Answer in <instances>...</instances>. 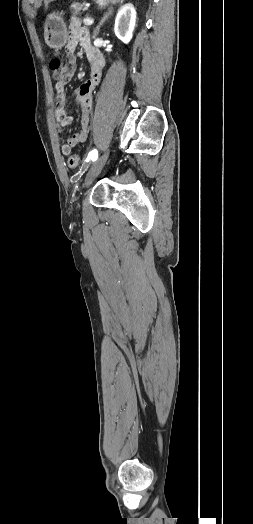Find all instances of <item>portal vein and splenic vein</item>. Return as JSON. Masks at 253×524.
Returning <instances> with one entry per match:
<instances>
[{
    "mask_svg": "<svg viewBox=\"0 0 253 524\" xmlns=\"http://www.w3.org/2000/svg\"><path fill=\"white\" fill-rule=\"evenodd\" d=\"M93 22H94V21H93V19H91V18H84V19H83V23H84L85 25H92Z\"/></svg>",
    "mask_w": 253,
    "mask_h": 524,
    "instance_id": "portal-vein-and-splenic-vein-1",
    "label": "portal vein and splenic vein"
}]
</instances>
